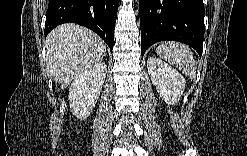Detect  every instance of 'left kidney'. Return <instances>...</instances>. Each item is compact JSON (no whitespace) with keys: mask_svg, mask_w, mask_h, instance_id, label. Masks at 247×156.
Listing matches in <instances>:
<instances>
[{"mask_svg":"<svg viewBox=\"0 0 247 156\" xmlns=\"http://www.w3.org/2000/svg\"><path fill=\"white\" fill-rule=\"evenodd\" d=\"M147 69L161 98L172 105L178 103L185 89L184 77L157 57L148 58Z\"/></svg>","mask_w":247,"mask_h":156,"instance_id":"1","label":"left kidney"}]
</instances>
